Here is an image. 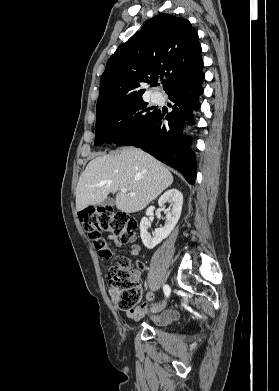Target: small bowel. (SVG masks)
<instances>
[{
  "instance_id": "c3829d8e",
  "label": "small bowel",
  "mask_w": 279,
  "mask_h": 391,
  "mask_svg": "<svg viewBox=\"0 0 279 391\" xmlns=\"http://www.w3.org/2000/svg\"><path fill=\"white\" fill-rule=\"evenodd\" d=\"M120 245V243H117ZM140 251L139 245L130 246L129 253L131 256H137ZM154 300V295L152 292L147 293L146 301L139 306H136L134 309L127 312V316L135 321L140 320L141 318L148 315L149 308L148 305ZM179 316L178 311L175 308H169L165 310L162 314L153 316V320L160 325L168 324L174 320H176Z\"/></svg>"
}]
</instances>
